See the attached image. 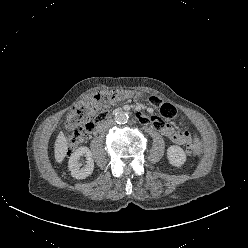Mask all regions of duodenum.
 I'll return each instance as SVG.
<instances>
[{
  "label": "duodenum",
  "instance_id": "obj_1",
  "mask_svg": "<svg viewBox=\"0 0 248 248\" xmlns=\"http://www.w3.org/2000/svg\"><path fill=\"white\" fill-rule=\"evenodd\" d=\"M138 117H139V118L141 117V114H140V113L138 114Z\"/></svg>",
  "mask_w": 248,
  "mask_h": 248
}]
</instances>
